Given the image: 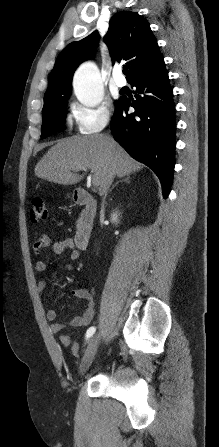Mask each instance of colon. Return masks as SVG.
<instances>
[{"label": "colon", "mask_w": 219, "mask_h": 447, "mask_svg": "<svg viewBox=\"0 0 219 447\" xmlns=\"http://www.w3.org/2000/svg\"><path fill=\"white\" fill-rule=\"evenodd\" d=\"M29 216L34 223L43 222L47 219V208L44 198L36 197L32 200Z\"/></svg>", "instance_id": "5ec220e1"}]
</instances>
